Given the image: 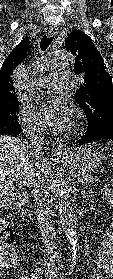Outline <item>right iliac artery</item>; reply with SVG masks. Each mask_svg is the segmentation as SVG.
<instances>
[{
	"label": "right iliac artery",
	"instance_id": "right-iliac-artery-1",
	"mask_svg": "<svg viewBox=\"0 0 113 279\" xmlns=\"http://www.w3.org/2000/svg\"><path fill=\"white\" fill-rule=\"evenodd\" d=\"M35 277V275L32 273L29 277H26V279H33Z\"/></svg>",
	"mask_w": 113,
	"mask_h": 279
}]
</instances>
